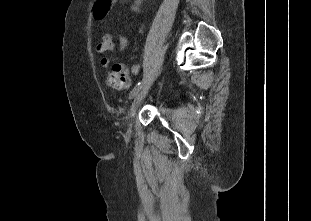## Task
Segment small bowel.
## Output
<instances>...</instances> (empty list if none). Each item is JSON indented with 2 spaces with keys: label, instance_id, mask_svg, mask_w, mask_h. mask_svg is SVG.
<instances>
[{
  "label": "small bowel",
  "instance_id": "c3829d8e",
  "mask_svg": "<svg viewBox=\"0 0 311 221\" xmlns=\"http://www.w3.org/2000/svg\"><path fill=\"white\" fill-rule=\"evenodd\" d=\"M115 1V0H114ZM128 1V0H125ZM141 0H133L132 1V10L135 13H139L140 12V6H141ZM97 46H110L111 47V51L114 49V42H113V37L110 33H104L102 35L101 41L98 43ZM128 46V40L125 36L118 34V51L119 52H123ZM100 56V60H99V65L101 68L106 69L109 66V58L106 56L107 53H97ZM125 72L128 76V73H132V74H138L139 72V66L136 63H132L130 65L129 68L125 69ZM129 80V77H128ZM130 85V80L128 82V86ZM126 87V88H127Z\"/></svg>",
  "mask_w": 311,
  "mask_h": 221
}]
</instances>
